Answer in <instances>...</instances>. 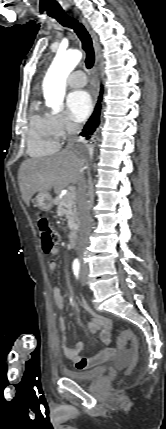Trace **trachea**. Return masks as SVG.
Returning <instances> with one entry per match:
<instances>
[{
	"label": "trachea",
	"mask_w": 166,
	"mask_h": 429,
	"mask_svg": "<svg viewBox=\"0 0 166 429\" xmlns=\"http://www.w3.org/2000/svg\"><path fill=\"white\" fill-rule=\"evenodd\" d=\"M50 17L55 18L62 26L74 30L82 42V48L86 53L85 64L88 69L92 68L95 61L92 39L82 23L77 19L70 17L65 12L50 13Z\"/></svg>",
	"instance_id": "trachea-1"
}]
</instances>
